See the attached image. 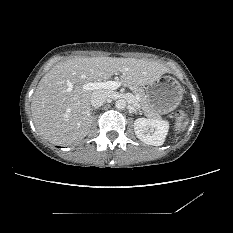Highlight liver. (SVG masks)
<instances>
[{
	"instance_id": "6515ba94",
	"label": "liver",
	"mask_w": 233,
	"mask_h": 233,
	"mask_svg": "<svg viewBox=\"0 0 233 233\" xmlns=\"http://www.w3.org/2000/svg\"><path fill=\"white\" fill-rule=\"evenodd\" d=\"M168 68L157 61L116 57H75L56 64L40 80L31 102L36 129L57 145L81 141L89 133L91 90L84 84L107 80L121 73V79L134 85L155 82Z\"/></svg>"
}]
</instances>
